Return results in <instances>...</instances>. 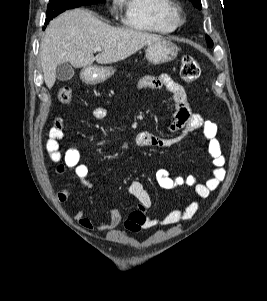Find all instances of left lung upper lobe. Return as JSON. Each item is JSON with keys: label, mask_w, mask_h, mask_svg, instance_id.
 Listing matches in <instances>:
<instances>
[{"label": "left lung upper lobe", "mask_w": 267, "mask_h": 301, "mask_svg": "<svg viewBox=\"0 0 267 301\" xmlns=\"http://www.w3.org/2000/svg\"><path fill=\"white\" fill-rule=\"evenodd\" d=\"M192 2V4L198 8L201 9V1L200 0H190ZM206 41H207V45L208 47H212L213 46V42L211 40V38L209 36L206 35Z\"/></svg>", "instance_id": "left-lung-upper-lobe-1"}]
</instances>
